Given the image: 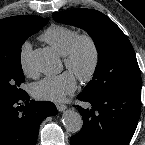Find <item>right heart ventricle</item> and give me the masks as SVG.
<instances>
[{
  "label": "right heart ventricle",
  "mask_w": 145,
  "mask_h": 145,
  "mask_svg": "<svg viewBox=\"0 0 145 145\" xmlns=\"http://www.w3.org/2000/svg\"><path fill=\"white\" fill-rule=\"evenodd\" d=\"M77 35L78 32L71 27L53 24L42 33L41 39L57 53L65 56Z\"/></svg>",
  "instance_id": "obj_1"
}]
</instances>
